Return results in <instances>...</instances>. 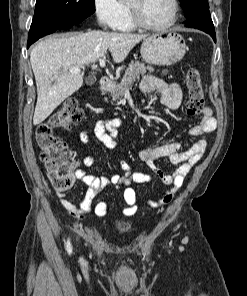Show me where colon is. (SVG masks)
I'll use <instances>...</instances> for the list:
<instances>
[{
    "instance_id": "1",
    "label": "colon",
    "mask_w": 247,
    "mask_h": 296,
    "mask_svg": "<svg viewBox=\"0 0 247 296\" xmlns=\"http://www.w3.org/2000/svg\"><path fill=\"white\" fill-rule=\"evenodd\" d=\"M188 89L187 114L191 117L202 112L204 92L199 71L190 67L186 73ZM84 120V112L74 98L67 99L50 118L36 128V141L40 151V160L47 170V176L58 191L69 189L75 182V163L67 144L54 131L70 129Z\"/></svg>"
}]
</instances>
